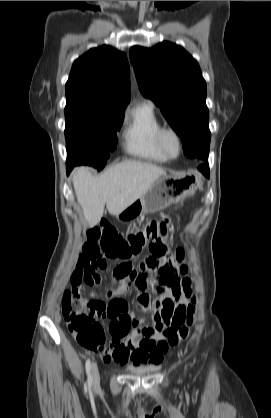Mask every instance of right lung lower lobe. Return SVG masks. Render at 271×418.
<instances>
[{
	"label": "right lung lower lobe",
	"instance_id": "98d812e1",
	"mask_svg": "<svg viewBox=\"0 0 271 418\" xmlns=\"http://www.w3.org/2000/svg\"><path fill=\"white\" fill-rule=\"evenodd\" d=\"M74 166L67 164V173L69 174V172L72 170Z\"/></svg>",
	"mask_w": 271,
	"mask_h": 418
}]
</instances>
